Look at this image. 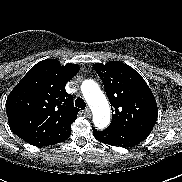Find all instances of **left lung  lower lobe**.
Masks as SVG:
<instances>
[{"instance_id":"1","label":"left lung lower lobe","mask_w":182,"mask_h":182,"mask_svg":"<svg viewBox=\"0 0 182 182\" xmlns=\"http://www.w3.org/2000/svg\"><path fill=\"white\" fill-rule=\"evenodd\" d=\"M93 136L100 142L120 147H131L139 144L146 137L115 128H107L105 130H97L92 127Z\"/></svg>"}]
</instances>
